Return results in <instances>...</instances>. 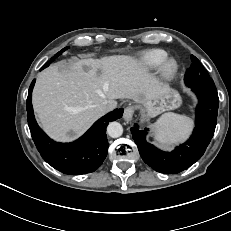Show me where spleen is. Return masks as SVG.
Instances as JSON below:
<instances>
[{
	"instance_id": "3e777b00",
	"label": "spleen",
	"mask_w": 231,
	"mask_h": 231,
	"mask_svg": "<svg viewBox=\"0 0 231 231\" xmlns=\"http://www.w3.org/2000/svg\"><path fill=\"white\" fill-rule=\"evenodd\" d=\"M192 129V121L186 116L174 113L164 114L155 123V140L162 144L175 143L188 136Z\"/></svg>"
}]
</instances>
